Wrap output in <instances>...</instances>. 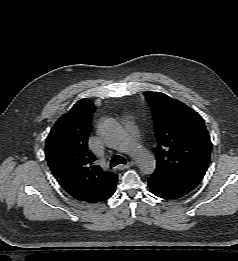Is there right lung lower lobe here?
<instances>
[{"instance_id":"obj_1","label":"right lung lower lobe","mask_w":238,"mask_h":261,"mask_svg":"<svg viewBox=\"0 0 238 261\" xmlns=\"http://www.w3.org/2000/svg\"><path fill=\"white\" fill-rule=\"evenodd\" d=\"M115 188H116V185L113 186L103 197L99 198L96 202L103 201V200L110 198L114 194Z\"/></svg>"}]
</instances>
